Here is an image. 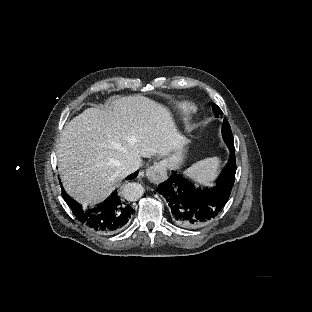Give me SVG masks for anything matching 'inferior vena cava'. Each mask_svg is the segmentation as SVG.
<instances>
[{
  "label": "inferior vena cava",
  "mask_w": 312,
  "mask_h": 312,
  "mask_svg": "<svg viewBox=\"0 0 312 312\" xmlns=\"http://www.w3.org/2000/svg\"><path fill=\"white\" fill-rule=\"evenodd\" d=\"M141 166H142L141 158L134 159V161L127 167V174L135 172Z\"/></svg>",
  "instance_id": "602c4592"
}]
</instances>
